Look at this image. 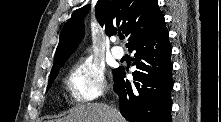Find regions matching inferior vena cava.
Returning <instances> with one entry per match:
<instances>
[{
    "mask_svg": "<svg viewBox=\"0 0 221 122\" xmlns=\"http://www.w3.org/2000/svg\"><path fill=\"white\" fill-rule=\"evenodd\" d=\"M113 111H114V113H116V112H117V110H116V109H114Z\"/></svg>",
    "mask_w": 221,
    "mask_h": 122,
    "instance_id": "602c4592",
    "label": "inferior vena cava"
}]
</instances>
